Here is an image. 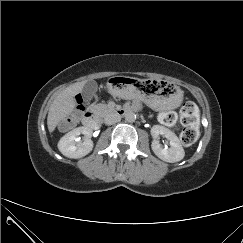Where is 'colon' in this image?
<instances>
[{
  "instance_id": "colon-1",
  "label": "colon",
  "mask_w": 243,
  "mask_h": 243,
  "mask_svg": "<svg viewBox=\"0 0 243 243\" xmlns=\"http://www.w3.org/2000/svg\"><path fill=\"white\" fill-rule=\"evenodd\" d=\"M176 115L172 111L163 112L160 115V121L167 126H172L176 122ZM77 120V114L71 113L62 122L60 127L62 129L71 128ZM180 121L183 129L180 134V140L183 145H192L198 134L199 111L193 102H186L180 110Z\"/></svg>"
}]
</instances>
